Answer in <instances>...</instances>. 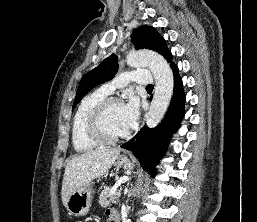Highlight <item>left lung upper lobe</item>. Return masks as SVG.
Returning <instances> with one entry per match:
<instances>
[{
  "instance_id": "obj_1",
  "label": "left lung upper lobe",
  "mask_w": 257,
  "mask_h": 222,
  "mask_svg": "<svg viewBox=\"0 0 257 222\" xmlns=\"http://www.w3.org/2000/svg\"><path fill=\"white\" fill-rule=\"evenodd\" d=\"M132 42L137 49H151L158 52L168 62L172 61L171 52L168 50L164 38L153 27L141 26L133 31ZM118 70L117 57L112 54L101 62L96 68L86 73L79 84L73 106L94 87L111 80Z\"/></svg>"
}]
</instances>
